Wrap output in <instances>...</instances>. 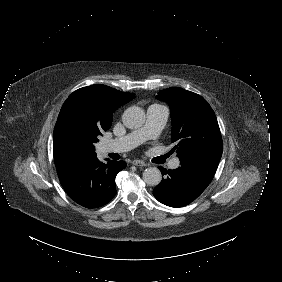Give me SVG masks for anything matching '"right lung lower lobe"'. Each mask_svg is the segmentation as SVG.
Listing matches in <instances>:
<instances>
[{
	"label": "right lung lower lobe",
	"mask_w": 282,
	"mask_h": 282,
	"mask_svg": "<svg viewBox=\"0 0 282 282\" xmlns=\"http://www.w3.org/2000/svg\"><path fill=\"white\" fill-rule=\"evenodd\" d=\"M126 167L124 161L100 162L96 156L83 158L57 169L66 193L86 208L101 207L116 194L115 177Z\"/></svg>",
	"instance_id": "1"
}]
</instances>
